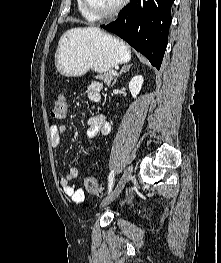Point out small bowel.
<instances>
[{
	"label": "small bowel",
	"instance_id": "obj_1",
	"mask_svg": "<svg viewBox=\"0 0 221 263\" xmlns=\"http://www.w3.org/2000/svg\"><path fill=\"white\" fill-rule=\"evenodd\" d=\"M102 84L93 81L86 86V92L90 101L96 103L101 100ZM68 126L65 124L53 125L51 127V143L54 147L61 144L62 136L68 133ZM110 132V124L103 115H94L88 119V129L86 135L88 139H95L98 135H107ZM79 176V170L75 167L69 169L66 175L60 178V185L64 193L75 204L85 202L84 191L77 188L73 180Z\"/></svg>",
	"mask_w": 221,
	"mask_h": 263
}]
</instances>
